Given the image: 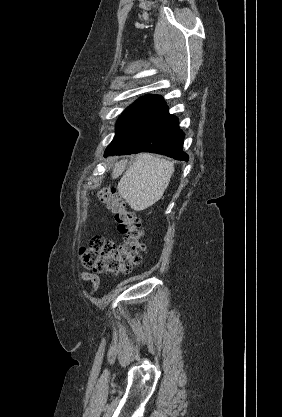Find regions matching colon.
<instances>
[{
  "instance_id": "obj_1",
  "label": "colon",
  "mask_w": 282,
  "mask_h": 417,
  "mask_svg": "<svg viewBox=\"0 0 282 417\" xmlns=\"http://www.w3.org/2000/svg\"><path fill=\"white\" fill-rule=\"evenodd\" d=\"M99 202L111 211L118 232L123 236L119 248L102 236H92L88 246L79 253L82 266L97 273L118 276L132 271L144 252V230L135 211L129 209L115 187H100L96 190Z\"/></svg>"
}]
</instances>
